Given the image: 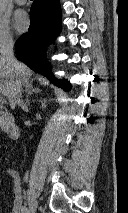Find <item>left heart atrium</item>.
<instances>
[{
  "label": "left heart atrium",
  "mask_w": 128,
  "mask_h": 213,
  "mask_svg": "<svg viewBox=\"0 0 128 213\" xmlns=\"http://www.w3.org/2000/svg\"><path fill=\"white\" fill-rule=\"evenodd\" d=\"M13 23L18 32H24L30 23L29 16L24 11H17L14 15Z\"/></svg>",
  "instance_id": "39dd6f15"
}]
</instances>
